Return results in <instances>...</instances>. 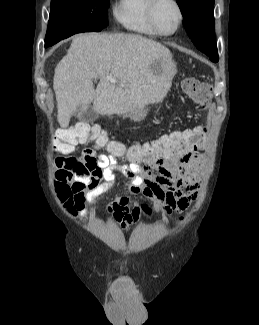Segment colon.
Masks as SVG:
<instances>
[{
	"label": "colon",
	"mask_w": 259,
	"mask_h": 325,
	"mask_svg": "<svg viewBox=\"0 0 259 325\" xmlns=\"http://www.w3.org/2000/svg\"><path fill=\"white\" fill-rule=\"evenodd\" d=\"M182 90L199 105L206 107L210 102L211 90L209 86L196 78H185L182 81ZM207 134L208 129L203 125H194L193 129L174 131L153 141L135 143L127 147L119 141L110 140L105 131L98 126L78 124L61 131L54 138L52 146L59 153H68L78 142L90 139L96 148H103L109 154L125 155L132 161H147L175 149H199V142H203Z\"/></svg>",
	"instance_id": "colon-1"
}]
</instances>
